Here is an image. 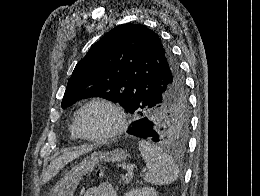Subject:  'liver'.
<instances>
[{"label":"liver","instance_id":"liver-1","mask_svg":"<svg viewBox=\"0 0 260 196\" xmlns=\"http://www.w3.org/2000/svg\"><path fill=\"white\" fill-rule=\"evenodd\" d=\"M92 150H95V146H80V148L74 150V152H65L62 156H58V158H55V160L51 162L50 166H48L47 172H44L43 182H49V180L54 178V176L58 174L59 170L64 168L68 162L80 158L83 154H89Z\"/></svg>","mask_w":260,"mask_h":196}]
</instances>
